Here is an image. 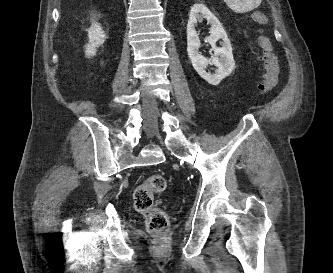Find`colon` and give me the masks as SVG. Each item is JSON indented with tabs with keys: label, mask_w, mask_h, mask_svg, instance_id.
Masks as SVG:
<instances>
[{
	"label": "colon",
	"mask_w": 333,
	"mask_h": 273,
	"mask_svg": "<svg viewBox=\"0 0 333 273\" xmlns=\"http://www.w3.org/2000/svg\"><path fill=\"white\" fill-rule=\"evenodd\" d=\"M251 18L258 24L267 23L266 15L260 11L253 12ZM258 44L262 49L260 61L264 70L259 90L262 94H267L277 85L279 64L269 37L260 35L258 37ZM166 186V180L162 175L151 174L137 186L134 192L136 209L147 215L148 227L155 233H163L169 224L166 213L154 205V195L162 193L166 189Z\"/></svg>",
	"instance_id": "5ec220e1"
}]
</instances>
